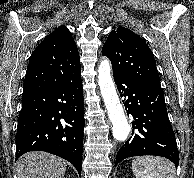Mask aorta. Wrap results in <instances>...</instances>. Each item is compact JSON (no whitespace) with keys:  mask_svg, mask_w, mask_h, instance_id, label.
Returning a JSON list of instances; mask_svg holds the SVG:
<instances>
[{"mask_svg":"<svg viewBox=\"0 0 194 178\" xmlns=\"http://www.w3.org/2000/svg\"><path fill=\"white\" fill-rule=\"evenodd\" d=\"M98 84L101 90L109 119L112 122V133L116 140L124 141L131 130L124 114L123 107L116 93V88L111 77V65L104 59L98 67Z\"/></svg>","mask_w":194,"mask_h":178,"instance_id":"762f6f07","label":"aorta"}]
</instances>
